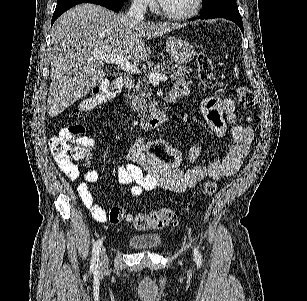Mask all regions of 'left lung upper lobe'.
<instances>
[{
	"label": "left lung upper lobe",
	"instance_id": "5c2ea615",
	"mask_svg": "<svg viewBox=\"0 0 307 301\" xmlns=\"http://www.w3.org/2000/svg\"><path fill=\"white\" fill-rule=\"evenodd\" d=\"M201 16L241 18L235 0H203Z\"/></svg>",
	"mask_w": 307,
	"mask_h": 301
}]
</instances>
